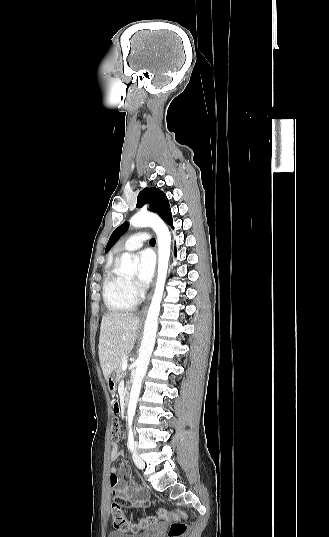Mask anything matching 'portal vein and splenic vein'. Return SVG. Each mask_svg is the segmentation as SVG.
Returning <instances> with one entry per match:
<instances>
[{
	"instance_id": "1",
	"label": "portal vein and splenic vein",
	"mask_w": 329,
	"mask_h": 537,
	"mask_svg": "<svg viewBox=\"0 0 329 537\" xmlns=\"http://www.w3.org/2000/svg\"><path fill=\"white\" fill-rule=\"evenodd\" d=\"M127 366H128L127 363H123L122 364V370L125 371L127 369Z\"/></svg>"
}]
</instances>
